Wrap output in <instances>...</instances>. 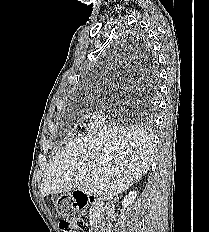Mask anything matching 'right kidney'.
Returning a JSON list of instances; mask_svg holds the SVG:
<instances>
[{
    "label": "right kidney",
    "instance_id": "1",
    "mask_svg": "<svg viewBox=\"0 0 209 232\" xmlns=\"http://www.w3.org/2000/svg\"><path fill=\"white\" fill-rule=\"evenodd\" d=\"M136 197H137V191H131L128 195L124 197L122 201V206L124 208L128 207L134 202Z\"/></svg>",
    "mask_w": 209,
    "mask_h": 232
}]
</instances>
